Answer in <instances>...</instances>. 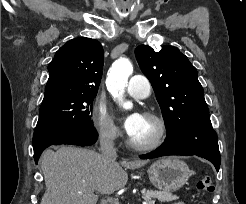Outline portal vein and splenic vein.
<instances>
[{"label": "portal vein and splenic vein", "mask_w": 246, "mask_h": 204, "mask_svg": "<svg viewBox=\"0 0 246 204\" xmlns=\"http://www.w3.org/2000/svg\"><path fill=\"white\" fill-rule=\"evenodd\" d=\"M107 201L111 204H119L118 200L112 197H106ZM144 204H155V200H147Z\"/></svg>", "instance_id": "1"}]
</instances>
